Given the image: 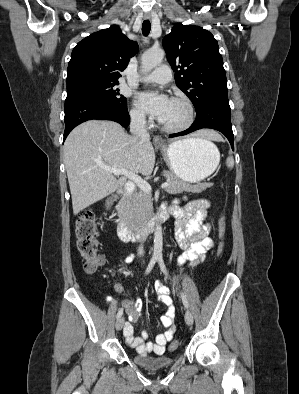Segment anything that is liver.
<instances>
[{"instance_id":"liver-1","label":"liver","mask_w":299,"mask_h":394,"mask_svg":"<svg viewBox=\"0 0 299 394\" xmlns=\"http://www.w3.org/2000/svg\"><path fill=\"white\" fill-rule=\"evenodd\" d=\"M193 136L221 139L211 130H201ZM63 152L75 215L125 184L126 176L117 179L104 166L149 176L155 164L150 141L128 135L113 121L90 120L80 124L67 137Z\"/></svg>"}]
</instances>
